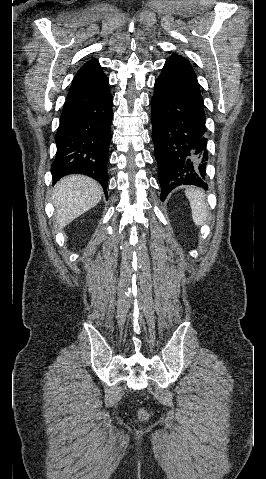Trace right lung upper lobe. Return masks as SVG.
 Wrapping results in <instances>:
<instances>
[{
	"mask_svg": "<svg viewBox=\"0 0 266 479\" xmlns=\"http://www.w3.org/2000/svg\"><path fill=\"white\" fill-rule=\"evenodd\" d=\"M103 74L102 68L96 59L86 62L75 75L74 80H83Z\"/></svg>",
	"mask_w": 266,
	"mask_h": 479,
	"instance_id": "1",
	"label": "right lung upper lobe"
}]
</instances>
